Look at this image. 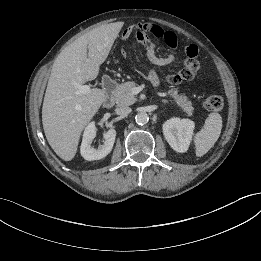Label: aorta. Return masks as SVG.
<instances>
[{"instance_id": "obj_1", "label": "aorta", "mask_w": 261, "mask_h": 261, "mask_svg": "<svg viewBox=\"0 0 261 261\" xmlns=\"http://www.w3.org/2000/svg\"><path fill=\"white\" fill-rule=\"evenodd\" d=\"M135 121L138 125H145L149 121V117L147 113L145 112H140L135 116Z\"/></svg>"}]
</instances>
